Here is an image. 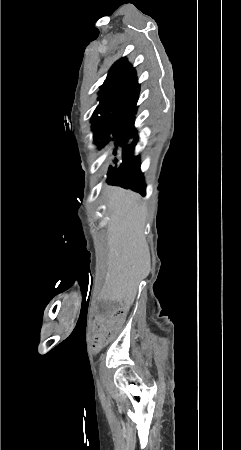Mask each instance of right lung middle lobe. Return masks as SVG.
Listing matches in <instances>:
<instances>
[{"label":"right lung middle lobe","instance_id":"right-lung-middle-lobe-1","mask_svg":"<svg viewBox=\"0 0 241 450\" xmlns=\"http://www.w3.org/2000/svg\"><path fill=\"white\" fill-rule=\"evenodd\" d=\"M100 88L98 92L100 103L91 118L94 138L99 141V147L103 149V155L107 160H110L112 155H118L121 148L124 158L133 150L136 142L133 141L128 145L129 140L137 138L134 136L137 101L118 98L114 90L108 86L102 85ZM113 162L117 164L118 159L115 158ZM113 169L109 166V172Z\"/></svg>","mask_w":241,"mask_h":450}]
</instances>
